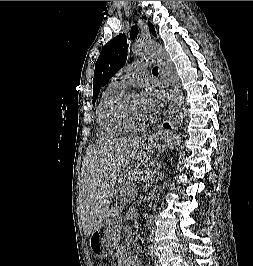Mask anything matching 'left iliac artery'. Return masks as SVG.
<instances>
[{
	"label": "left iliac artery",
	"instance_id": "1",
	"mask_svg": "<svg viewBox=\"0 0 253 266\" xmlns=\"http://www.w3.org/2000/svg\"><path fill=\"white\" fill-rule=\"evenodd\" d=\"M149 255L154 258L155 257V251H154V248L152 246L149 247Z\"/></svg>",
	"mask_w": 253,
	"mask_h": 266
}]
</instances>
